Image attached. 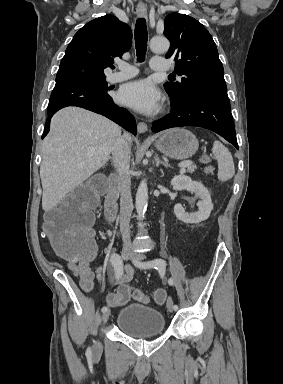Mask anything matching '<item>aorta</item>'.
Masks as SVG:
<instances>
[{
  "label": "aorta",
  "mask_w": 283,
  "mask_h": 384,
  "mask_svg": "<svg viewBox=\"0 0 283 384\" xmlns=\"http://www.w3.org/2000/svg\"><path fill=\"white\" fill-rule=\"evenodd\" d=\"M170 43L165 37H153L150 41V49L155 53H164L169 49ZM148 186L146 179H143L136 193V211L139 217H142L147 209Z\"/></svg>",
  "instance_id": "1"
}]
</instances>
